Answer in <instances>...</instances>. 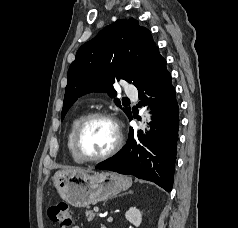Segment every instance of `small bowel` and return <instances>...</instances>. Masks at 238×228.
Segmentation results:
<instances>
[{
    "mask_svg": "<svg viewBox=\"0 0 238 228\" xmlns=\"http://www.w3.org/2000/svg\"><path fill=\"white\" fill-rule=\"evenodd\" d=\"M73 228H79L78 226H74Z\"/></svg>",
    "mask_w": 238,
    "mask_h": 228,
    "instance_id": "small-bowel-1",
    "label": "small bowel"
}]
</instances>
